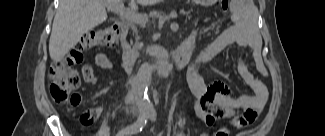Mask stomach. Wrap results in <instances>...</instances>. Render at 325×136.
Returning <instances> with one entry per match:
<instances>
[{
	"mask_svg": "<svg viewBox=\"0 0 325 136\" xmlns=\"http://www.w3.org/2000/svg\"><path fill=\"white\" fill-rule=\"evenodd\" d=\"M200 2V1H199ZM213 1H201L200 3H212Z\"/></svg>",
	"mask_w": 325,
	"mask_h": 136,
	"instance_id": "1",
	"label": "stomach"
}]
</instances>
